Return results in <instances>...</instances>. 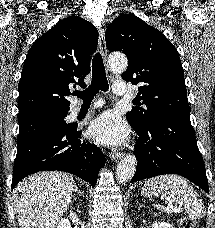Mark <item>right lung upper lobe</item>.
Returning a JSON list of instances; mask_svg holds the SVG:
<instances>
[{
  "mask_svg": "<svg viewBox=\"0 0 215 228\" xmlns=\"http://www.w3.org/2000/svg\"><path fill=\"white\" fill-rule=\"evenodd\" d=\"M97 42V29L77 16L61 20L36 40L19 82V123L70 111L69 85L86 86Z\"/></svg>",
  "mask_w": 215,
  "mask_h": 228,
  "instance_id": "1",
  "label": "right lung upper lobe"
}]
</instances>
